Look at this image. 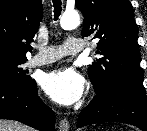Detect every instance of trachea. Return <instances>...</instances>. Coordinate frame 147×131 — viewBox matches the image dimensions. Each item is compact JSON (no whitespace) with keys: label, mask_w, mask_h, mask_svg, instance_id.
Wrapping results in <instances>:
<instances>
[{"label":"trachea","mask_w":147,"mask_h":131,"mask_svg":"<svg viewBox=\"0 0 147 131\" xmlns=\"http://www.w3.org/2000/svg\"><path fill=\"white\" fill-rule=\"evenodd\" d=\"M53 2V7H54V16H55V20L58 19L59 15L61 14V10H62V2L61 0H52Z\"/></svg>","instance_id":"obj_1"}]
</instances>
